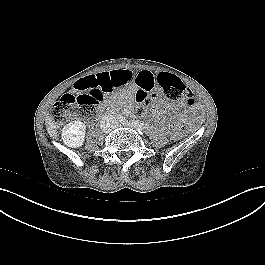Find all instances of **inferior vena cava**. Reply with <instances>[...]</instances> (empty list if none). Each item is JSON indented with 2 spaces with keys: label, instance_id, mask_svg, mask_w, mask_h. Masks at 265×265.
Returning <instances> with one entry per match:
<instances>
[{
  "label": "inferior vena cava",
  "instance_id": "1",
  "mask_svg": "<svg viewBox=\"0 0 265 265\" xmlns=\"http://www.w3.org/2000/svg\"><path fill=\"white\" fill-rule=\"evenodd\" d=\"M101 129L104 132H109L114 127V117L112 115H105L100 121Z\"/></svg>",
  "mask_w": 265,
  "mask_h": 265
}]
</instances>
